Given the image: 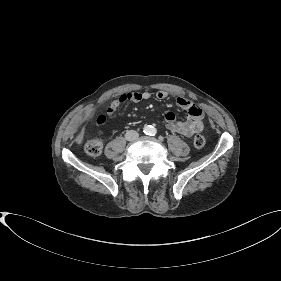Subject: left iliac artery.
<instances>
[{"mask_svg": "<svg viewBox=\"0 0 281 281\" xmlns=\"http://www.w3.org/2000/svg\"><path fill=\"white\" fill-rule=\"evenodd\" d=\"M156 133H157L156 129L153 128V129L151 130V135L154 136V135H156Z\"/></svg>", "mask_w": 281, "mask_h": 281, "instance_id": "1", "label": "left iliac artery"}]
</instances>
